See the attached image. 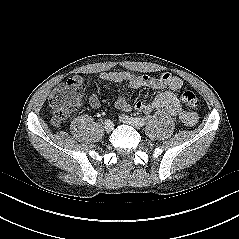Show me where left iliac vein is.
Masks as SVG:
<instances>
[{"label": "left iliac vein", "instance_id": "1", "mask_svg": "<svg viewBox=\"0 0 239 239\" xmlns=\"http://www.w3.org/2000/svg\"><path fill=\"white\" fill-rule=\"evenodd\" d=\"M119 120L124 123V124H128L131 125L135 128H139L140 126L136 123L135 119L127 116V115H120L119 116Z\"/></svg>", "mask_w": 239, "mask_h": 239}]
</instances>
